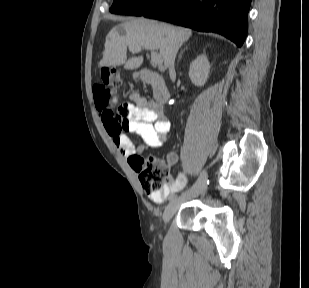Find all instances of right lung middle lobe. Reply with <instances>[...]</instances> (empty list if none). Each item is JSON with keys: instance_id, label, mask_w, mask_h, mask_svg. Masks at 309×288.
I'll return each instance as SVG.
<instances>
[{"instance_id": "dd1d6c3e", "label": "right lung middle lobe", "mask_w": 309, "mask_h": 288, "mask_svg": "<svg viewBox=\"0 0 309 288\" xmlns=\"http://www.w3.org/2000/svg\"><path fill=\"white\" fill-rule=\"evenodd\" d=\"M164 1L165 0H114L110 12L114 14L142 16Z\"/></svg>"}]
</instances>
